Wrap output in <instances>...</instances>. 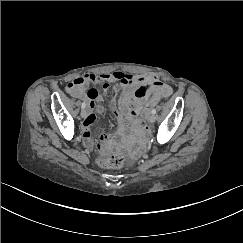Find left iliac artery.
<instances>
[{
    "label": "left iliac artery",
    "mask_w": 243,
    "mask_h": 243,
    "mask_svg": "<svg viewBox=\"0 0 243 243\" xmlns=\"http://www.w3.org/2000/svg\"><path fill=\"white\" fill-rule=\"evenodd\" d=\"M151 113H152V114H156V109H153V110L151 111Z\"/></svg>",
    "instance_id": "44dca946"
}]
</instances>
